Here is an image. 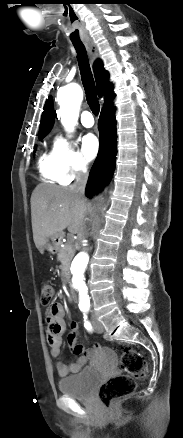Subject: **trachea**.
Returning <instances> with one entry per match:
<instances>
[{"label": "trachea", "instance_id": "3493384b", "mask_svg": "<svg viewBox=\"0 0 183 438\" xmlns=\"http://www.w3.org/2000/svg\"><path fill=\"white\" fill-rule=\"evenodd\" d=\"M77 52L82 84L86 94V100L89 107L95 115L100 111V104L96 96L94 78L90 69L87 52L83 43H73Z\"/></svg>", "mask_w": 183, "mask_h": 438}]
</instances>
